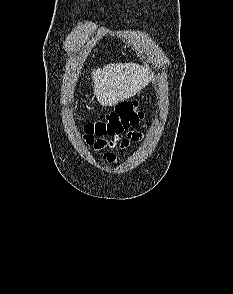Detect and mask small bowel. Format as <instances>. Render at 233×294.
I'll use <instances>...</instances> for the list:
<instances>
[{
	"label": "small bowel",
	"mask_w": 233,
	"mask_h": 294,
	"mask_svg": "<svg viewBox=\"0 0 233 294\" xmlns=\"http://www.w3.org/2000/svg\"><path fill=\"white\" fill-rule=\"evenodd\" d=\"M130 137H137V132H130ZM108 159L110 161H112L113 160V156L112 155H109L108 156Z\"/></svg>",
	"instance_id": "obj_1"
}]
</instances>
